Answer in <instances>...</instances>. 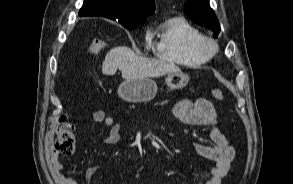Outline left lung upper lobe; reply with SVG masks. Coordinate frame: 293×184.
Segmentation results:
<instances>
[{"instance_id": "5c2ea615", "label": "left lung upper lobe", "mask_w": 293, "mask_h": 184, "mask_svg": "<svg viewBox=\"0 0 293 184\" xmlns=\"http://www.w3.org/2000/svg\"><path fill=\"white\" fill-rule=\"evenodd\" d=\"M183 10L192 21L209 28L214 37L218 36L220 25L214 11L210 8L208 0H187Z\"/></svg>"}]
</instances>
